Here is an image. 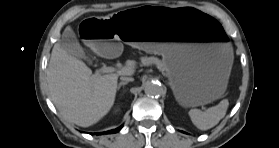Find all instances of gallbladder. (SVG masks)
<instances>
[{"mask_svg": "<svg viewBox=\"0 0 279 148\" xmlns=\"http://www.w3.org/2000/svg\"><path fill=\"white\" fill-rule=\"evenodd\" d=\"M58 43L60 44L61 48H63L69 55L78 58H85V52L81 47L74 31L70 27H67L64 30Z\"/></svg>", "mask_w": 279, "mask_h": 148, "instance_id": "gallbladder-1", "label": "gallbladder"}]
</instances>
